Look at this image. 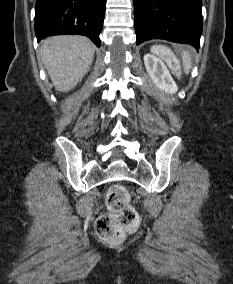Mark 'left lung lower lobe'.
Listing matches in <instances>:
<instances>
[{"label": "left lung lower lobe", "instance_id": "left-lung-lower-lobe-1", "mask_svg": "<svg viewBox=\"0 0 233 284\" xmlns=\"http://www.w3.org/2000/svg\"><path fill=\"white\" fill-rule=\"evenodd\" d=\"M134 13L137 45L165 39L199 49L202 0H134Z\"/></svg>", "mask_w": 233, "mask_h": 284}]
</instances>
